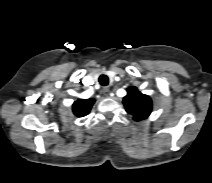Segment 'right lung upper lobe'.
Segmentation results:
<instances>
[{
  "label": "right lung upper lobe",
  "mask_w": 212,
  "mask_h": 183,
  "mask_svg": "<svg viewBox=\"0 0 212 183\" xmlns=\"http://www.w3.org/2000/svg\"><path fill=\"white\" fill-rule=\"evenodd\" d=\"M94 99H79L78 101L74 102L73 104V112L78 117H83L87 115L94 104Z\"/></svg>",
  "instance_id": "obj_1"
}]
</instances>
